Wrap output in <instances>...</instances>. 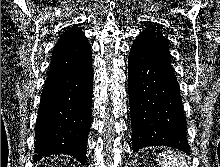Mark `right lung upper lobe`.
Instances as JSON below:
<instances>
[{"label": "right lung upper lobe", "mask_w": 220, "mask_h": 167, "mask_svg": "<svg viewBox=\"0 0 220 167\" xmlns=\"http://www.w3.org/2000/svg\"><path fill=\"white\" fill-rule=\"evenodd\" d=\"M92 61L91 47L77 26L68 27L56 43L49 74L79 69Z\"/></svg>", "instance_id": "1"}]
</instances>
